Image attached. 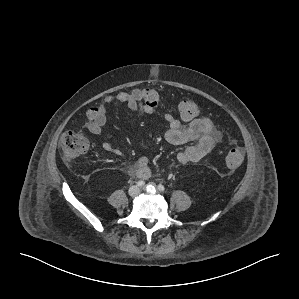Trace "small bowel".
Masks as SVG:
<instances>
[{"mask_svg": "<svg viewBox=\"0 0 299 299\" xmlns=\"http://www.w3.org/2000/svg\"><path fill=\"white\" fill-rule=\"evenodd\" d=\"M115 102L125 104L133 115H152L157 113V106H149L143 101L140 89L107 95L98 106V113L95 120L88 124V129L92 134L101 133L106 123L107 115ZM161 117L168 124V129L165 132L167 142L174 145H186L195 142L176 155V160L180 164L200 161L221 140V134L214 128V124L209 117L199 116L185 122L180 121L167 112L162 113ZM101 145L107 152L117 155L121 153L120 149L108 141L102 142ZM133 173L141 179H147L151 176L147 157L143 156L137 160L133 168Z\"/></svg>", "mask_w": 299, "mask_h": 299, "instance_id": "c3829d8e", "label": "small bowel"}]
</instances>
